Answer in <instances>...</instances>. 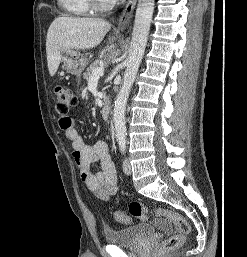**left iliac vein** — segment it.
I'll return each instance as SVG.
<instances>
[{
    "instance_id": "1",
    "label": "left iliac vein",
    "mask_w": 247,
    "mask_h": 257,
    "mask_svg": "<svg viewBox=\"0 0 247 257\" xmlns=\"http://www.w3.org/2000/svg\"><path fill=\"white\" fill-rule=\"evenodd\" d=\"M123 171L126 175H130L132 173L131 164H130L128 158H125L123 160Z\"/></svg>"
}]
</instances>
